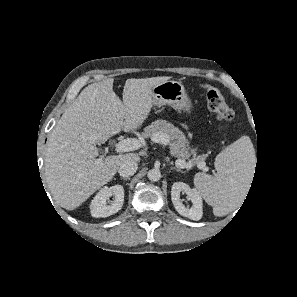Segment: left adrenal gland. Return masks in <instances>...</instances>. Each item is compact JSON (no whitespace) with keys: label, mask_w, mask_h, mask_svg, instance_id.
Instances as JSON below:
<instances>
[{"label":"left adrenal gland","mask_w":297,"mask_h":297,"mask_svg":"<svg viewBox=\"0 0 297 297\" xmlns=\"http://www.w3.org/2000/svg\"><path fill=\"white\" fill-rule=\"evenodd\" d=\"M171 169H175L177 171H180V168H178V167H172Z\"/></svg>","instance_id":"a2214340"}]
</instances>
